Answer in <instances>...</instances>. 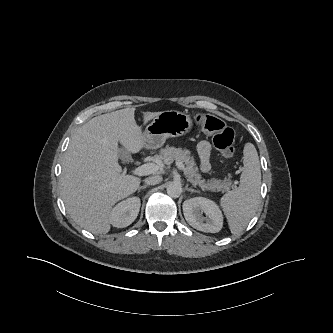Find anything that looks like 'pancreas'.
Wrapping results in <instances>:
<instances>
[{
    "mask_svg": "<svg viewBox=\"0 0 333 333\" xmlns=\"http://www.w3.org/2000/svg\"><path fill=\"white\" fill-rule=\"evenodd\" d=\"M156 158L165 164H171L174 160L184 163L186 165L184 174L187 180L194 186H199L202 190L212 192L229 191L232 187L230 178H225L224 180L213 178L209 181L203 179L196 166L194 157L190 155V151L187 149L167 146L160 150V154Z\"/></svg>",
    "mask_w": 333,
    "mask_h": 333,
    "instance_id": "obj_1",
    "label": "pancreas"
}]
</instances>
